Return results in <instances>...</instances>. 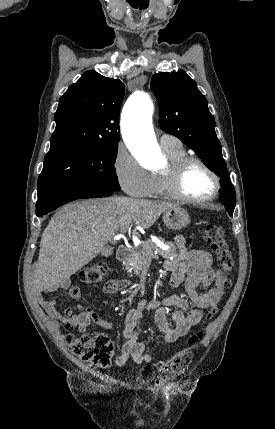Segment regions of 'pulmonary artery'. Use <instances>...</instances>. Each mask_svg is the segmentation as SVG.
<instances>
[{
	"mask_svg": "<svg viewBox=\"0 0 275 429\" xmlns=\"http://www.w3.org/2000/svg\"><path fill=\"white\" fill-rule=\"evenodd\" d=\"M160 145L163 149L166 148H177L182 146L180 140L169 134H161L159 137Z\"/></svg>",
	"mask_w": 275,
	"mask_h": 429,
	"instance_id": "obj_1",
	"label": "pulmonary artery"
}]
</instances>
